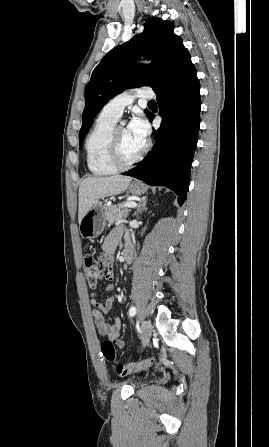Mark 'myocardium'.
Wrapping results in <instances>:
<instances>
[{
    "label": "myocardium",
    "mask_w": 269,
    "mask_h": 447,
    "mask_svg": "<svg viewBox=\"0 0 269 447\" xmlns=\"http://www.w3.org/2000/svg\"><path fill=\"white\" fill-rule=\"evenodd\" d=\"M120 126H114L109 137V158L111 162L120 169L129 168L140 162L149 150L150 142L146 141L143 151L133 160L125 161L122 157L121 148L118 141V130Z\"/></svg>",
    "instance_id": "obj_1"
}]
</instances>
